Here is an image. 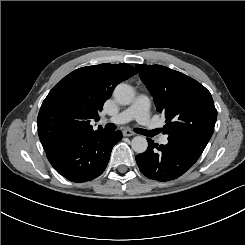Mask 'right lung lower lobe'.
I'll list each match as a JSON object with an SVG mask.
<instances>
[{
	"mask_svg": "<svg viewBox=\"0 0 245 245\" xmlns=\"http://www.w3.org/2000/svg\"><path fill=\"white\" fill-rule=\"evenodd\" d=\"M122 139L120 131H96L57 143L46 151L59 174L72 182H86L101 175L113 146Z\"/></svg>",
	"mask_w": 245,
	"mask_h": 245,
	"instance_id": "obj_1",
	"label": "right lung lower lobe"
}]
</instances>
